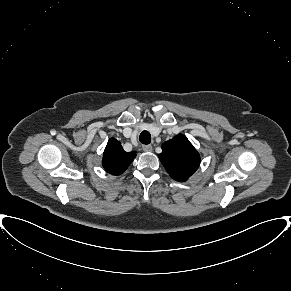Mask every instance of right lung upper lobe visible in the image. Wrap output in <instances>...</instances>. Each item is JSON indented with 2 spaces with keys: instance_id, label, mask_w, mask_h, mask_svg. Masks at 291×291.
Segmentation results:
<instances>
[{
  "instance_id": "obj_1",
  "label": "right lung upper lobe",
  "mask_w": 291,
  "mask_h": 291,
  "mask_svg": "<svg viewBox=\"0 0 291 291\" xmlns=\"http://www.w3.org/2000/svg\"><path fill=\"white\" fill-rule=\"evenodd\" d=\"M135 156V152H125L121 143L111 138L104 150L102 164L108 173L118 176L128 168Z\"/></svg>"
}]
</instances>
